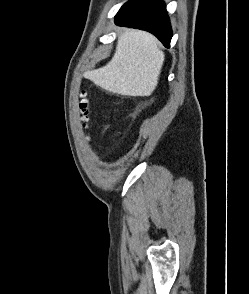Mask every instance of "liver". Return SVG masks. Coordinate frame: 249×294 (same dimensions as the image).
I'll return each mask as SVG.
<instances>
[{
    "instance_id": "6515ba94",
    "label": "liver",
    "mask_w": 249,
    "mask_h": 294,
    "mask_svg": "<svg viewBox=\"0 0 249 294\" xmlns=\"http://www.w3.org/2000/svg\"><path fill=\"white\" fill-rule=\"evenodd\" d=\"M164 57L153 35L141 30H126L118 37L111 61L88 71L86 76L112 93L147 96L157 87Z\"/></svg>"
}]
</instances>
